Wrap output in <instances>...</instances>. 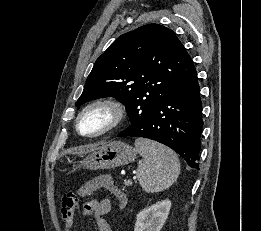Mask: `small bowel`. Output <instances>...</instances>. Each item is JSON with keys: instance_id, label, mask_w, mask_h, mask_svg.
<instances>
[{"instance_id": "c3829d8e", "label": "small bowel", "mask_w": 261, "mask_h": 231, "mask_svg": "<svg viewBox=\"0 0 261 231\" xmlns=\"http://www.w3.org/2000/svg\"><path fill=\"white\" fill-rule=\"evenodd\" d=\"M90 182L96 184V189L107 188L113 192L121 202L125 201L124 194L117 188H112L111 184L113 183L109 175H99L93 178ZM83 188V187H82ZM82 188L78 190L80 196L85 197L87 194L83 193ZM111 210V202L109 199H92L87 201L82 208V217L87 219L90 216H94L98 231H112L109 223L104 218ZM73 227V222L65 221L64 231H71Z\"/></svg>"}]
</instances>
